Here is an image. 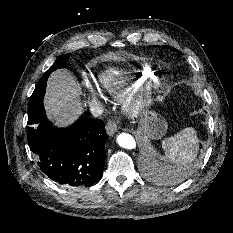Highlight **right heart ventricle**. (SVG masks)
<instances>
[{
    "instance_id": "obj_1",
    "label": "right heart ventricle",
    "mask_w": 233,
    "mask_h": 233,
    "mask_svg": "<svg viewBox=\"0 0 233 233\" xmlns=\"http://www.w3.org/2000/svg\"><path fill=\"white\" fill-rule=\"evenodd\" d=\"M128 76H133L131 83L133 86L141 85L149 78L147 69L145 68L132 73L117 69H109L100 75L99 80L104 90L109 93L117 94L121 91L124 82L123 79Z\"/></svg>"
}]
</instances>
